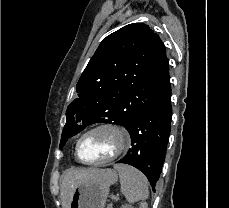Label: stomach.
Wrapping results in <instances>:
<instances>
[{
    "label": "stomach",
    "instance_id": "1",
    "mask_svg": "<svg viewBox=\"0 0 229 208\" xmlns=\"http://www.w3.org/2000/svg\"><path fill=\"white\" fill-rule=\"evenodd\" d=\"M117 172L114 170H103L100 178L81 182L71 196L69 208H105L109 188L116 184Z\"/></svg>",
    "mask_w": 229,
    "mask_h": 208
}]
</instances>
